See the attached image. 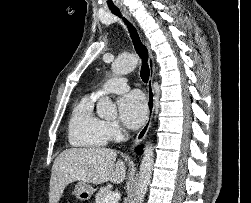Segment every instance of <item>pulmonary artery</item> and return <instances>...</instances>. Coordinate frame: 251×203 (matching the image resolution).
Listing matches in <instances>:
<instances>
[{
	"label": "pulmonary artery",
	"mask_w": 251,
	"mask_h": 203,
	"mask_svg": "<svg viewBox=\"0 0 251 203\" xmlns=\"http://www.w3.org/2000/svg\"><path fill=\"white\" fill-rule=\"evenodd\" d=\"M129 89L127 81L123 77H113L108 79L99 89L92 93L94 97H99L107 93H122Z\"/></svg>",
	"instance_id": "1"
}]
</instances>
